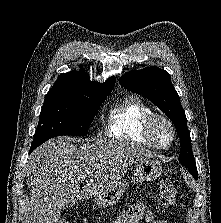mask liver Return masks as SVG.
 Returning a JSON list of instances; mask_svg holds the SVG:
<instances>
[{"mask_svg": "<svg viewBox=\"0 0 221 223\" xmlns=\"http://www.w3.org/2000/svg\"><path fill=\"white\" fill-rule=\"evenodd\" d=\"M143 159H155V153L127 141L75 144L60 136L45 142L27 160L30 205L24 223H57L63 209L110 190ZM83 181L86 185L81 188Z\"/></svg>", "mask_w": 221, "mask_h": 223, "instance_id": "obj_1", "label": "liver"}]
</instances>
